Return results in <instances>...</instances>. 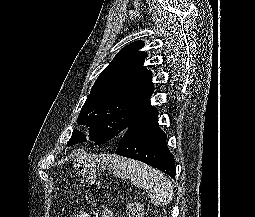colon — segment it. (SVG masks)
<instances>
[{
	"instance_id": "colon-1",
	"label": "colon",
	"mask_w": 255,
	"mask_h": 217,
	"mask_svg": "<svg viewBox=\"0 0 255 217\" xmlns=\"http://www.w3.org/2000/svg\"><path fill=\"white\" fill-rule=\"evenodd\" d=\"M128 217H143V207L138 202H132L127 207Z\"/></svg>"
}]
</instances>
